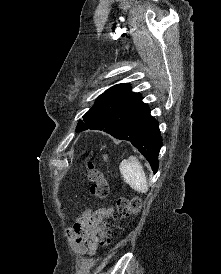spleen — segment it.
I'll return each instance as SVG.
<instances>
[{"instance_id": "1", "label": "spleen", "mask_w": 221, "mask_h": 274, "mask_svg": "<svg viewBox=\"0 0 221 274\" xmlns=\"http://www.w3.org/2000/svg\"><path fill=\"white\" fill-rule=\"evenodd\" d=\"M120 173L124 181L137 192L146 193L148 191V183L145 172L139 160L131 156L122 160L119 166Z\"/></svg>"}]
</instances>
